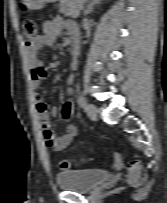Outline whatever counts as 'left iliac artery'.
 <instances>
[{
    "label": "left iliac artery",
    "instance_id": "left-iliac-artery-1",
    "mask_svg": "<svg viewBox=\"0 0 167 203\" xmlns=\"http://www.w3.org/2000/svg\"><path fill=\"white\" fill-rule=\"evenodd\" d=\"M79 104L82 106V107H85L86 106V99L84 96H80L79 98Z\"/></svg>",
    "mask_w": 167,
    "mask_h": 203
}]
</instances>
